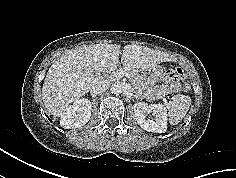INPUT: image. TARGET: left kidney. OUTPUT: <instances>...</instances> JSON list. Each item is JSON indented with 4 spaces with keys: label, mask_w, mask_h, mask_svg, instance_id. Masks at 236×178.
Masks as SVG:
<instances>
[{
    "label": "left kidney",
    "mask_w": 236,
    "mask_h": 178,
    "mask_svg": "<svg viewBox=\"0 0 236 178\" xmlns=\"http://www.w3.org/2000/svg\"><path fill=\"white\" fill-rule=\"evenodd\" d=\"M152 113L155 115V121L147 120L146 114ZM134 114L137 123L141 128L148 132L164 133L167 130V110L163 104L148 105L145 102L134 104Z\"/></svg>",
    "instance_id": "obj_1"
}]
</instances>
